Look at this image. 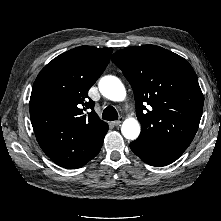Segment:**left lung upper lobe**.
Here are the masks:
<instances>
[{
    "label": "left lung upper lobe",
    "instance_id": "left-lung-upper-lobe-1",
    "mask_svg": "<svg viewBox=\"0 0 221 221\" xmlns=\"http://www.w3.org/2000/svg\"><path fill=\"white\" fill-rule=\"evenodd\" d=\"M112 61L129 81L141 123L137 140L186 150L200 123L203 95L191 65L155 45L117 51ZM145 105H149L148 109Z\"/></svg>",
    "mask_w": 221,
    "mask_h": 221
}]
</instances>
